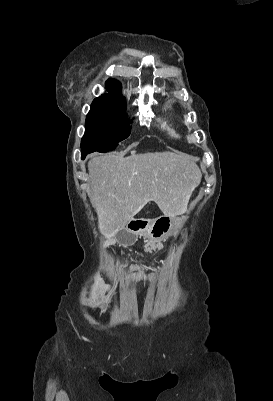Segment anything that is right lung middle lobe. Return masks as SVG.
Segmentation results:
<instances>
[{
    "label": "right lung middle lobe",
    "instance_id": "dd1d6c3e",
    "mask_svg": "<svg viewBox=\"0 0 273 401\" xmlns=\"http://www.w3.org/2000/svg\"><path fill=\"white\" fill-rule=\"evenodd\" d=\"M126 107L92 103L86 117L85 135L81 141L82 154L107 152L130 135Z\"/></svg>",
    "mask_w": 273,
    "mask_h": 401
}]
</instances>
